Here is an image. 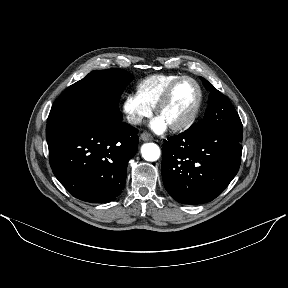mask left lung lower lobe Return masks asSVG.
I'll list each match as a JSON object with an SVG mask.
<instances>
[{
	"label": "left lung lower lobe",
	"mask_w": 288,
	"mask_h": 288,
	"mask_svg": "<svg viewBox=\"0 0 288 288\" xmlns=\"http://www.w3.org/2000/svg\"><path fill=\"white\" fill-rule=\"evenodd\" d=\"M241 142L208 127H190L164 140L162 178L167 192L182 204L215 199L239 170Z\"/></svg>",
	"instance_id": "obj_1"
}]
</instances>
